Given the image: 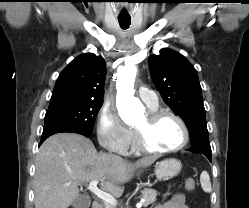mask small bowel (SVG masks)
<instances>
[{"instance_id":"obj_1","label":"small bowel","mask_w":249,"mask_h":208,"mask_svg":"<svg viewBox=\"0 0 249 208\" xmlns=\"http://www.w3.org/2000/svg\"><path fill=\"white\" fill-rule=\"evenodd\" d=\"M155 208H188L182 194L174 195L170 200L157 205Z\"/></svg>"}]
</instances>
